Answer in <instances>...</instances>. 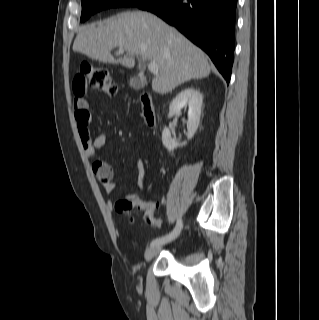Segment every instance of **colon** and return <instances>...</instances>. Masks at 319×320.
I'll list each match as a JSON object with an SVG mask.
<instances>
[{"instance_id": "1", "label": "colon", "mask_w": 319, "mask_h": 320, "mask_svg": "<svg viewBox=\"0 0 319 320\" xmlns=\"http://www.w3.org/2000/svg\"><path fill=\"white\" fill-rule=\"evenodd\" d=\"M86 84H89L93 89L102 91L109 96H115L117 94V86L115 85L111 72L102 67H98L89 62H83L80 65L78 75L74 78V87L82 88ZM85 130L88 131V126H85ZM111 170L108 163L96 162L94 164V170L97 172L99 169ZM134 206L138 207V202L130 199H120L115 203V209L119 213L129 214ZM145 220L147 223L155 224L158 227L161 226V222L154 216V213L145 212Z\"/></svg>"}]
</instances>
